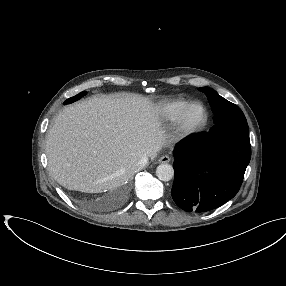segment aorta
<instances>
[{"mask_svg": "<svg viewBox=\"0 0 286 286\" xmlns=\"http://www.w3.org/2000/svg\"><path fill=\"white\" fill-rule=\"evenodd\" d=\"M156 176L162 181H169L174 176V169L170 164H160L156 168Z\"/></svg>", "mask_w": 286, "mask_h": 286, "instance_id": "762f6f07", "label": "aorta"}]
</instances>
